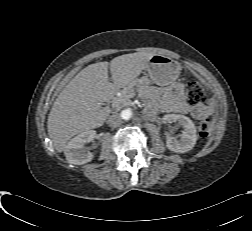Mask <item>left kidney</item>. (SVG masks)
Returning <instances> with one entry per match:
<instances>
[{
	"instance_id": "1",
	"label": "left kidney",
	"mask_w": 252,
	"mask_h": 231,
	"mask_svg": "<svg viewBox=\"0 0 252 231\" xmlns=\"http://www.w3.org/2000/svg\"><path fill=\"white\" fill-rule=\"evenodd\" d=\"M167 120L178 122L183 128L180 137L167 136L166 146L169 150L176 153H184L191 150L196 144L197 130L192 120L184 115L169 114L166 116Z\"/></svg>"
}]
</instances>
